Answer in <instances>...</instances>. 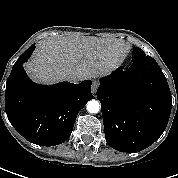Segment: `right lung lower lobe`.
Listing matches in <instances>:
<instances>
[{"label":"right lung lower lobe","mask_w":178,"mask_h":178,"mask_svg":"<svg viewBox=\"0 0 178 178\" xmlns=\"http://www.w3.org/2000/svg\"><path fill=\"white\" fill-rule=\"evenodd\" d=\"M35 45L29 47L13 65L6 82L5 111L10 123L26 140L42 146L65 142L71 135L78 112L94 96L91 81L53 86L33 83L22 63Z\"/></svg>","instance_id":"98d812e1"}]
</instances>
